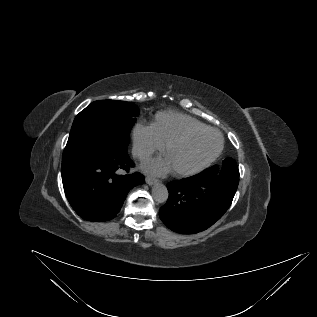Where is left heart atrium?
Segmentation results:
<instances>
[{
    "mask_svg": "<svg viewBox=\"0 0 317 317\" xmlns=\"http://www.w3.org/2000/svg\"><path fill=\"white\" fill-rule=\"evenodd\" d=\"M144 168L147 171L157 173V174H165L171 170V167L165 157H158L149 161Z\"/></svg>",
    "mask_w": 317,
    "mask_h": 317,
    "instance_id": "1",
    "label": "left heart atrium"
}]
</instances>
